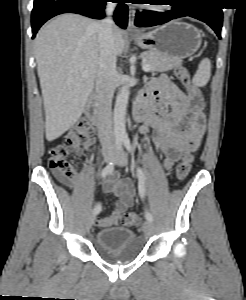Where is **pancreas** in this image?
<instances>
[{
	"instance_id": "obj_1",
	"label": "pancreas",
	"mask_w": 246,
	"mask_h": 300,
	"mask_svg": "<svg viewBox=\"0 0 246 300\" xmlns=\"http://www.w3.org/2000/svg\"><path fill=\"white\" fill-rule=\"evenodd\" d=\"M143 64H149L151 72H165L181 65V61H172L158 52L146 51L141 53Z\"/></svg>"
}]
</instances>
